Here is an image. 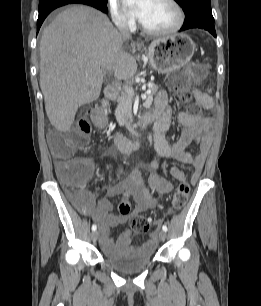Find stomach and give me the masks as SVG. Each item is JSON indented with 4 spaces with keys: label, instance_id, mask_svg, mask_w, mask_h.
Returning a JSON list of instances; mask_svg holds the SVG:
<instances>
[{
    "label": "stomach",
    "instance_id": "stomach-1",
    "mask_svg": "<svg viewBox=\"0 0 261 306\" xmlns=\"http://www.w3.org/2000/svg\"><path fill=\"white\" fill-rule=\"evenodd\" d=\"M195 43L183 33L154 39L146 51L150 66L160 74L177 71L185 66L195 52ZM98 126L104 121L95 119Z\"/></svg>",
    "mask_w": 261,
    "mask_h": 306
}]
</instances>
